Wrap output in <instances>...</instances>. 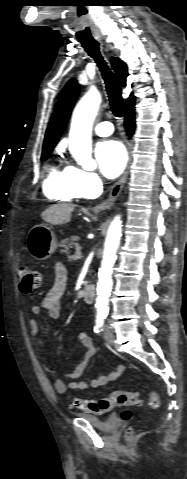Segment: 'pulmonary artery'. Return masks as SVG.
Here are the masks:
<instances>
[{
  "label": "pulmonary artery",
  "mask_w": 187,
  "mask_h": 479,
  "mask_svg": "<svg viewBox=\"0 0 187 479\" xmlns=\"http://www.w3.org/2000/svg\"><path fill=\"white\" fill-rule=\"evenodd\" d=\"M113 130L114 128L112 123L108 121L98 123L94 127L95 133L99 136H109L110 134H112Z\"/></svg>",
  "instance_id": "pulmonary-artery-1"
}]
</instances>
